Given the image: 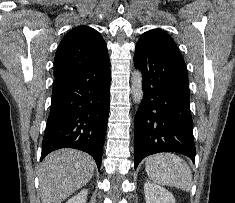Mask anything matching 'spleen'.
I'll return each mask as SVG.
<instances>
[{
    "label": "spleen",
    "instance_id": "3e777b00",
    "mask_svg": "<svg viewBox=\"0 0 235 203\" xmlns=\"http://www.w3.org/2000/svg\"><path fill=\"white\" fill-rule=\"evenodd\" d=\"M148 177L160 185L190 191L192 172L188 164L179 156L171 153H160L149 156L145 160Z\"/></svg>",
    "mask_w": 235,
    "mask_h": 203
}]
</instances>
